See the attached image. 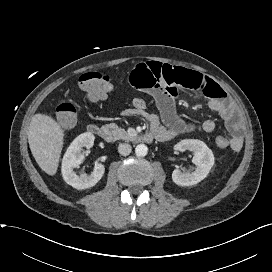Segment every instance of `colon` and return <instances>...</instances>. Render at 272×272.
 Returning a JSON list of instances; mask_svg holds the SVG:
<instances>
[{
	"mask_svg": "<svg viewBox=\"0 0 272 272\" xmlns=\"http://www.w3.org/2000/svg\"><path fill=\"white\" fill-rule=\"evenodd\" d=\"M79 86L87 99L98 101L104 99L112 89L111 77L98 71H90L81 75ZM136 109H146L147 102L142 98H135L132 102ZM54 117L64 129L72 128L77 121V113L74 105L67 99H62L57 104ZM217 147L224 149L230 146L226 137L219 136L216 139Z\"/></svg>",
	"mask_w": 272,
	"mask_h": 272,
	"instance_id": "colon-1",
	"label": "colon"
}]
</instances>
